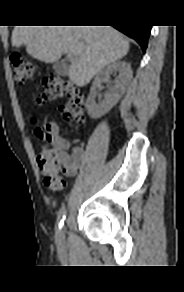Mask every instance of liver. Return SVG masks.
<instances>
[{
    "label": "liver",
    "instance_id": "6515ba94",
    "mask_svg": "<svg viewBox=\"0 0 184 292\" xmlns=\"http://www.w3.org/2000/svg\"><path fill=\"white\" fill-rule=\"evenodd\" d=\"M21 45L30 56L45 63L57 62L63 53H71L68 77L78 87L123 58L130 47L125 36L111 26H16L12 46Z\"/></svg>",
    "mask_w": 184,
    "mask_h": 292
}]
</instances>
